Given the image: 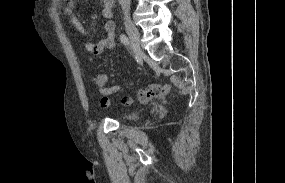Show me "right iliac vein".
Returning a JSON list of instances; mask_svg holds the SVG:
<instances>
[{
    "instance_id": "right-iliac-vein-1",
    "label": "right iliac vein",
    "mask_w": 285,
    "mask_h": 183,
    "mask_svg": "<svg viewBox=\"0 0 285 183\" xmlns=\"http://www.w3.org/2000/svg\"><path fill=\"white\" fill-rule=\"evenodd\" d=\"M126 32L131 40L132 49L136 56H139L141 54L140 49V33L137 29V27L129 20H126L124 22Z\"/></svg>"
}]
</instances>
